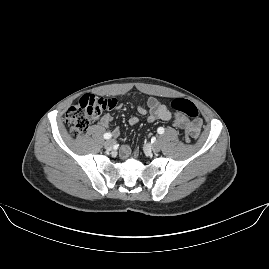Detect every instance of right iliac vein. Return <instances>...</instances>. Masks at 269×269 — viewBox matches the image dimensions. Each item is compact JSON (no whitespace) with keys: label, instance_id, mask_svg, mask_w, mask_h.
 Here are the masks:
<instances>
[{"label":"right iliac vein","instance_id":"63e3f726","mask_svg":"<svg viewBox=\"0 0 269 269\" xmlns=\"http://www.w3.org/2000/svg\"><path fill=\"white\" fill-rule=\"evenodd\" d=\"M115 145V141L113 139H109L104 143L105 148L111 149Z\"/></svg>","mask_w":269,"mask_h":269}]
</instances>
